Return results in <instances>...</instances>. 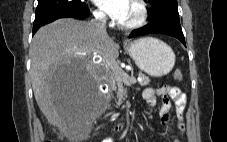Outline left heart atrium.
Wrapping results in <instances>:
<instances>
[{"label":"left heart atrium","instance_id":"1","mask_svg":"<svg viewBox=\"0 0 227 142\" xmlns=\"http://www.w3.org/2000/svg\"><path fill=\"white\" fill-rule=\"evenodd\" d=\"M113 20L121 22L129 9L131 0H94Z\"/></svg>","mask_w":227,"mask_h":142}]
</instances>
